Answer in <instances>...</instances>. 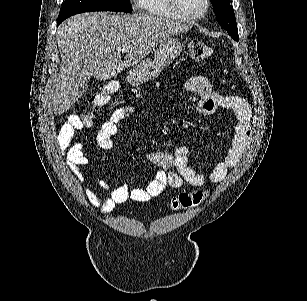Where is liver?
Segmentation results:
<instances>
[{"mask_svg":"<svg viewBox=\"0 0 307 301\" xmlns=\"http://www.w3.org/2000/svg\"><path fill=\"white\" fill-rule=\"evenodd\" d=\"M191 28L153 14L83 12L66 18L57 28L61 64L52 100L54 114H63L83 96L91 76L113 78L138 64L162 40ZM121 46L130 48L124 60Z\"/></svg>","mask_w":307,"mask_h":301,"instance_id":"obj_1","label":"liver"}]
</instances>
